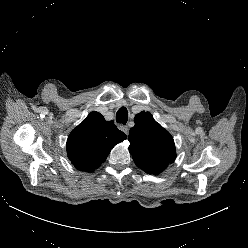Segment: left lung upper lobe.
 Returning <instances> with one entry per match:
<instances>
[{
	"label": "left lung upper lobe",
	"mask_w": 248,
	"mask_h": 248,
	"mask_svg": "<svg viewBox=\"0 0 248 248\" xmlns=\"http://www.w3.org/2000/svg\"><path fill=\"white\" fill-rule=\"evenodd\" d=\"M129 131V152L135 164L148 174L158 175L176 158L172 136L150 112H140Z\"/></svg>",
	"instance_id": "5c2ea615"
}]
</instances>
